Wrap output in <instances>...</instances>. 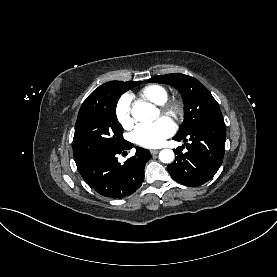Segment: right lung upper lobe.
I'll return each mask as SVG.
<instances>
[{
  "label": "right lung upper lobe",
  "instance_id": "right-lung-upper-lobe-1",
  "mask_svg": "<svg viewBox=\"0 0 277 277\" xmlns=\"http://www.w3.org/2000/svg\"><path fill=\"white\" fill-rule=\"evenodd\" d=\"M112 82L115 81H111V82H107L105 84H102L101 86H99L97 89H95L87 98L86 100L83 102L80 111L85 109L86 107L98 102L102 96L103 90Z\"/></svg>",
  "mask_w": 277,
  "mask_h": 277
}]
</instances>
